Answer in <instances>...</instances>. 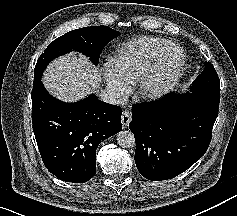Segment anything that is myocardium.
Instances as JSON below:
<instances>
[{
  "mask_svg": "<svg viewBox=\"0 0 237 216\" xmlns=\"http://www.w3.org/2000/svg\"><path fill=\"white\" fill-rule=\"evenodd\" d=\"M174 49H177L181 58L180 65H179L176 75L168 81L159 82L155 86L151 87L149 85L150 80L154 72L156 71L157 66L161 62L163 55L173 51ZM185 63H186V52L184 48L180 44L174 41H172V43L170 44L166 43L165 46L161 47L158 50L154 63L149 68H147L144 72H142L133 90V97L141 98L146 102H150V101H155L159 99L165 93L173 90L175 86L178 85L182 77V74L185 68Z\"/></svg>",
  "mask_w": 237,
  "mask_h": 216,
  "instance_id": "1",
  "label": "myocardium"
}]
</instances>
